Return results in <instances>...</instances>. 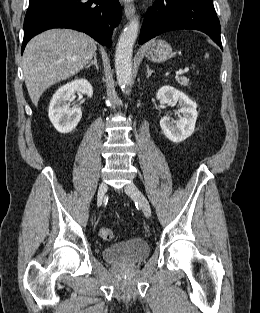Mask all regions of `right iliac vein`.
<instances>
[{"label":"right iliac vein","mask_w":260,"mask_h":313,"mask_svg":"<svg viewBox=\"0 0 260 313\" xmlns=\"http://www.w3.org/2000/svg\"><path fill=\"white\" fill-rule=\"evenodd\" d=\"M107 184L106 183H101L98 189V194H97V202L98 204H101L105 198L106 192H107Z\"/></svg>","instance_id":"right-iliac-vein-1"}]
</instances>
